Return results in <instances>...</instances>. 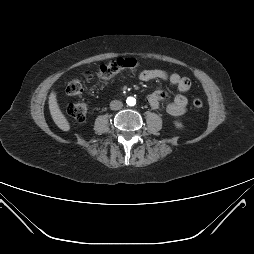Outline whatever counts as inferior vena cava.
Here are the masks:
<instances>
[{
    "mask_svg": "<svg viewBox=\"0 0 254 254\" xmlns=\"http://www.w3.org/2000/svg\"><path fill=\"white\" fill-rule=\"evenodd\" d=\"M123 107V103L119 100L111 101L110 109L111 110H120Z\"/></svg>",
    "mask_w": 254,
    "mask_h": 254,
    "instance_id": "obj_1",
    "label": "inferior vena cava"
}]
</instances>
